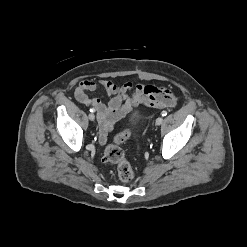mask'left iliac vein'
I'll list each match as a JSON object with an SVG mask.
<instances>
[{
	"mask_svg": "<svg viewBox=\"0 0 247 247\" xmlns=\"http://www.w3.org/2000/svg\"><path fill=\"white\" fill-rule=\"evenodd\" d=\"M162 122H163V118H162V117H158V118L156 119V125H161Z\"/></svg>",
	"mask_w": 247,
	"mask_h": 247,
	"instance_id": "4c4485c4",
	"label": "left iliac vein"
}]
</instances>
